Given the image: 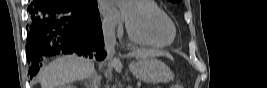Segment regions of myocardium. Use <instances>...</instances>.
<instances>
[{
  "instance_id": "obj_1",
  "label": "myocardium",
  "mask_w": 267,
  "mask_h": 88,
  "mask_svg": "<svg viewBox=\"0 0 267 88\" xmlns=\"http://www.w3.org/2000/svg\"><path fill=\"white\" fill-rule=\"evenodd\" d=\"M132 2L134 4H136V5H138L139 7L146 8L148 11L151 12V14L154 17L163 18V19L167 20L170 23L171 27H172V37L169 40H164V39L157 38L155 36L149 35V34L143 32V31H140V30H137V29L133 28L129 24V22L127 21L126 22V28H127V31H128V34L130 35V37L138 39V40H141V41H143L145 43H149V44L157 45V46H164V45L171 44L174 41L175 37H176V27H175L174 22L169 17L165 16L159 10L150 9L148 6H146L145 4H143V3L139 2V1H132Z\"/></svg>"
}]
</instances>
